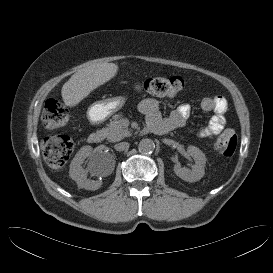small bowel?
<instances>
[{
  "label": "small bowel",
  "mask_w": 273,
  "mask_h": 273,
  "mask_svg": "<svg viewBox=\"0 0 273 273\" xmlns=\"http://www.w3.org/2000/svg\"><path fill=\"white\" fill-rule=\"evenodd\" d=\"M201 107L204 111H212L214 115L208 122L200 127L197 134L200 138L210 139L219 135L225 128L224 113L227 108V101L223 96L217 95L206 97L201 102ZM140 111L145 115L148 122L161 118L159 104L153 98H146L139 105ZM190 114V106L181 104L172 111L164 120L169 124L170 130L179 129L186 125L187 118Z\"/></svg>",
  "instance_id": "obj_1"
}]
</instances>
